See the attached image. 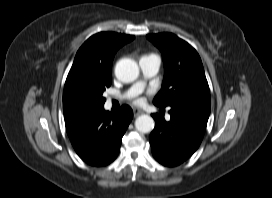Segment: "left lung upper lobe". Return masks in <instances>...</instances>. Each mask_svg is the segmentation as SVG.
I'll list each match as a JSON object with an SVG mask.
<instances>
[{
  "label": "left lung upper lobe",
  "mask_w": 272,
  "mask_h": 198,
  "mask_svg": "<svg viewBox=\"0 0 272 198\" xmlns=\"http://www.w3.org/2000/svg\"><path fill=\"white\" fill-rule=\"evenodd\" d=\"M162 53L164 80L157 106L186 105L210 110V90L197 51L172 33L146 36Z\"/></svg>",
  "instance_id": "1"
}]
</instances>
